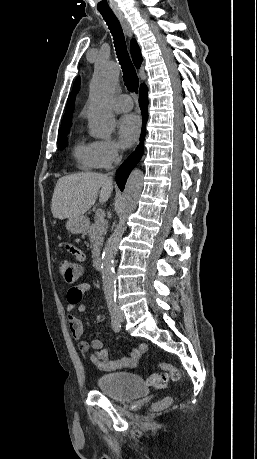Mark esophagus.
Segmentation results:
<instances>
[{
  "label": "esophagus",
  "instance_id": "esophagus-1",
  "mask_svg": "<svg viewBox=\"0 0 257 459\" xmlns=\"http://www.w3.org/2000/svg\"><path fill=\"white\" fill-rule=\"evenodd\" d=\"M114 13H115L116 17L118 18L126 37L129 40L131 38H133V31L131 29V26H130L129 22L127 21V19L123 15V13L121 11H119V10H115Z\"/></svg>",
  "mask_w": 257,
  "mask_h": 459
}]
</instances>
